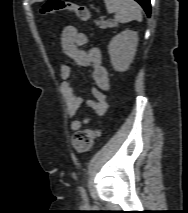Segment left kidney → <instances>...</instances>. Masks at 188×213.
I'll use <instances>...</instances> for the list:
<instances>
[{
    "label": "left kidney",
    "instance_id": "obj_1",
    "mask_svg": "<svg viewBox=\"0 0 188 213\" xmlns=\"http://www.w3.org/2000/svg\"><path fill=\"white\" fill-rule=\"evenodd\" d=\"M137 44V32L128 29L111 39L108 52L115 71L124 72L129 68L134 59Z\"/></svg>",
    "mask_w": 188,
    "mask_h": 213
}]
</instances>
